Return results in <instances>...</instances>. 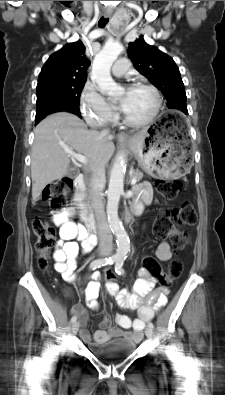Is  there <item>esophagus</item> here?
Segmentation results:
<instances>
[{
    "label": "esophagus",
    "instance_id": "1",
    "mask_svg": "<svg viewBox=\"0 0 225 395\" xmlns=\"http://www.w3.org/2000/svg\"><path fill=\"white\" fill-rule=\"evenodd\" d=\"M110 16H111L110 13H105V14H104V17H105V18H108V17H110ZM128 138H129L128 135H127L126 133H124V132H121V133L118 134V139H119V140H127Z\"/></svg>",
    "mask_w": 225,
    "mask_h": 395
}]
</instances>
